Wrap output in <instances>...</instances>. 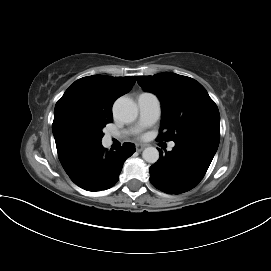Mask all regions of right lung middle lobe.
<instances>
[{"mask_svg":"<svg viewBox=\"0 0 271 271\" xmlns=\"http://www.w3.org/2000/svg\"><path fill=\"white\" fill-rule=\"evenodd\" d=\"M113 121L112 117H104L102 115H75L67 123V130L74 138L101 145L103 137L102 129L107 123Z\"/></svg>","mask_w":271,"mask_h":271,"instance_id":"dd1d6c3e","label":"right lung middle lobe"}]
</instances>
